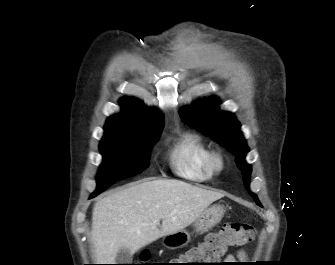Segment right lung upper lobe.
I'll return each instance as SVG.
<instances>
[{"mask_svg":"<svg viewBox=\"0 0 335 265\" xmlns=\"http://www.w3.org/2000/svg\"><path fill=\"white\" fill-rule=\"evenodd\" d=\"M122 111L108 118L104 127L105 133L119 129L161 127L164 118L158 112L145 107L139 102L123 98L120 100Z\"/></svg>","mask_w":335,"mask_h":265,"instance_id":"right-lung-upper-lobe-1","label":"right lung upper lobe"}]
</instances>
